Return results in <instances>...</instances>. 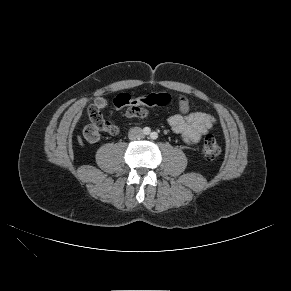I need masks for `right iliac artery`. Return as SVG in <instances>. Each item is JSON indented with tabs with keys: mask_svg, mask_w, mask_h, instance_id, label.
<instances>
[{
	"mask_svg": "<svg viewBox=\"0 0 291 291\" xmlns=\"http://www.w3.org/2000/svg\"><path fill=\"white\" fill-rule=\"evenodd\" d=\"M150 128L149 127H145L144 129H143V133L145 134V135H148V134H150Z\"/></svg>",
	"mask_w": 291,
	"mask_h": 291,
	"instance_id": "82829eb1",
	"label": "right iliac artery"
}]
</instances>
